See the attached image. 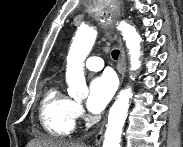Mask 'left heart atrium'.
<instances>
[{
    "instance_id": "39dd6f15",
    "label": "left heart atrium",
    "mask_w": 183,
    "mask_h": 147,
    "mask_svg": "<svg viewBox=\"0 0 183 147\" xmlns=\"http://www.w3.org/2000/svg\"><path fill=\"white\" fill-rule=\"evenodd\" d=\"M117 88L116 79L104 73L92 80L89 86L87 107L92 113H100L112 99Z\"/></svg>"
}]
</instances>
